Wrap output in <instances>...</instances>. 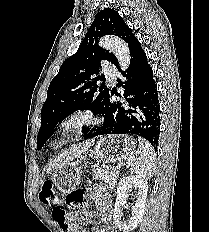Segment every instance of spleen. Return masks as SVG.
I'll return each instance as SVG.
<instances>
[{
	"label": "spleen",
	"mask_w": 209,
	"mask_h": 232,
	"mask_svg": "<svg viewBox=\"0 0 209 232\" xmlns=\"http://www.w3.org/2000/svg\"><path fill=\"white\" fill-rule=\"evenodd\" d=\"M139 147L128 157V166L133 173L152 176L155 169V152L151 144L139 138Z\"/></svg>",
	"instance_id": "3e777b00"
}]
</instances>
